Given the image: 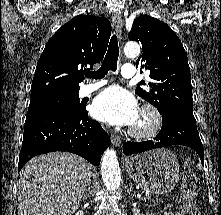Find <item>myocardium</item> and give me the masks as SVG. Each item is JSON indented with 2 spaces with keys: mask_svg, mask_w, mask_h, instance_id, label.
I'll return each mask as SVG.
<instances>
[{
  "mask_svg": "<svg viewBox=\"0 0 221 215\" xmlns=\"http://www.w3.org/2000/svg\"><path fill=\"white\" fill-rule=\"evenodd\" d=\"M141 116L145 117L147 124L143 127L132 126L129 134L136 139H148L154 137L161 129L163 118L159 110L152 104H145L140 110Z\"/></svg>",
  "mask_w": 221,
  "mask_h": 215,
  "instance_id": "obj_1",
  "label": "myocardium"
}]
</instances>
